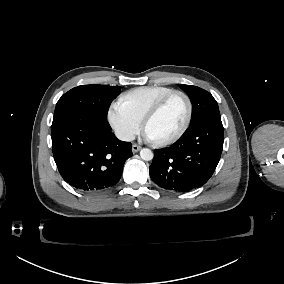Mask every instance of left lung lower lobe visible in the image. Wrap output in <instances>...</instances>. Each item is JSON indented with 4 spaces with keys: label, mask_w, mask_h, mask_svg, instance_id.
<instances>
[{
    "label": "left lung lower lobe",
    "mask_w": 284,
    "mask_h": 284,
    "mask_svg": "<svg viewBox=\"0 0 284 284\" xmlns=\"http://www.w3.org/2000/svg\"><path fill=\"white\" fill-rule=\"evenodd\" d=\"M224 141L220 117L190 125L168 148L155 150L149 168L151 179L160 187L188 192L206 183L220 160Z\"/></svg>",
    "instance_id": "obj_1"
}]
</instances>
